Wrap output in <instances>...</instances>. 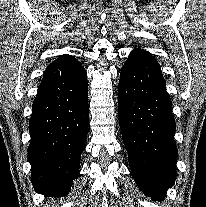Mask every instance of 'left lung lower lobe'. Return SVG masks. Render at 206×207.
<instances>
[{
    "label": "left lung lower lobe",
    "mask_w": 206,
    "mask_h": 207,
    "mask_svg": "<svg viewBox=\"0 0 206 207\" xmlns=\"http://www.w3.org/2000/svg\"><path fill=\"white\" fill-rule=\"evenodd\" d=\"M118 112L134 180L146 195L163 199L177 175L176 127L161 68L149 52L133 50L122 67Z\"/></svg>",
    "instance_id": "left-lung-lower-lobe-1"
}]
</instances>
